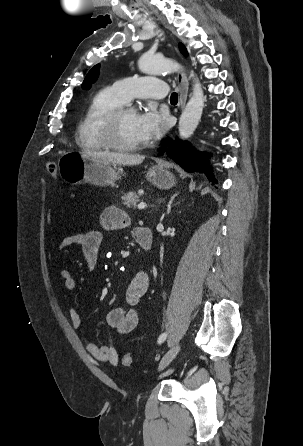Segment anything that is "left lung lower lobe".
Here are the masks:
<instances>
[{
  "instance_id": "left-lung-lower-lobe-1",
  "label": "left lung lower lobe",
  "mask_w": 303,
  "mask_h": 446,
  "mask_svg": "<svg viewBox=\"0 0 303 446\" xmlns=\"http://www.w3.org/2000/svg\"><path fill=\"white\" fill-rule=\"evenodd\" d=\"M165 146H168L167 153L170 158L180 164L183 169L188 172H202L211 181L217 182L213 176L211 166L209 165V155L206 153H198L194 151L189 143L182 140L168 139L165 141ZM165 148H161L160 152H165Z\"/></svg>"
}]
</instances>
